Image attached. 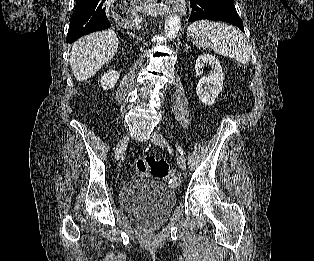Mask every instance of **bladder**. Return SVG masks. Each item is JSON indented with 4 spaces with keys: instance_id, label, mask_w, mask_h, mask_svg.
Wrapping results in <instances>:
<instances>
[{
    "instance_id": "1",
    "label": "bladder",
    "mask_w": 314,
    "mask_h": 261,
    "mask_svg": "<svg viewBox=\"0 0 314 261\" xmlns=\"http://www.w3.org/2000/svg\"><path fill=\"white\" fill-rule=\"evenodd\" d=\"M119 197L126 214L149 226L166 221L176 203L173 189L149 179L124 184Z\"/></svg>"
}]
</instances>
